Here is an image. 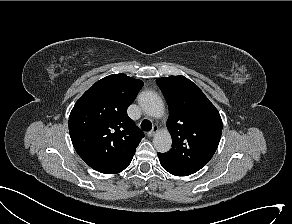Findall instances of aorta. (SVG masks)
I'll return each instance as SVG.
<instances>
[{
  "mask_svg": "<svg viewBox=\"0 0 292 224\" xmlns=\"http://www.w3.org/2000/svg\"><path fill=\"white\" fill-rule=\"evenodd\" d=\"M138 102L142 110L149 116L158 118L164 114V103L161 97L152 91H144L139 95ZM153 145L160 153L170 150L171 135L167 130L158 131L153 138Z\"/></svg>",
  "mask_w": 292,
  "mask_h": 224,
  "instance_id": "obj_1",
  "label": "aorta"
}]
</instances>
